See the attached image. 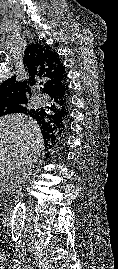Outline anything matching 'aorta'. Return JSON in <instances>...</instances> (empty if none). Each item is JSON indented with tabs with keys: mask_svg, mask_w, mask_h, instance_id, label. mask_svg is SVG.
Listing matches in <instances>:
<instances>
[{
	"mask_svg": "<svg viewBox=\"0 0 118 269\" xmlns=\"http://www.w3.org/2000/svg\"><path fill=\"white\" fill-rule=\"evenodd\" d=\"M26 208L23 202H17L15 205L11 220V239L14 244H17L24 228Z\"/></svg>",
	"mask_w": 118,
	"mask_h": 269,
	"instance_id": "obj_1",
	"label": "aorta"
}]
</instances>
